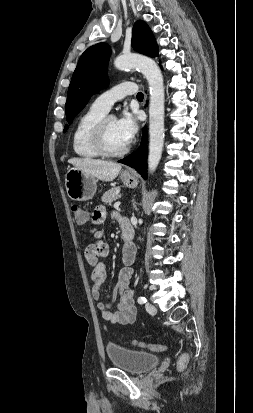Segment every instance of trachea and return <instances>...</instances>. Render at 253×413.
Returning a JSON list of instances; mask_svg holds the SVG:
<instances>
[{
  "label": "trachea",
  "instance_id": "3493384b",
  "mask_svg": "<svg viewBox=\"0 0 253 413\" xmlns=\"http://www.w3.org/2000/svg\"><path fill=\"white\" fill-rule=\"evenodd\" d=\"M137 99L140 100V101H142V100H143V93L139 92V93L137 94Z\"/></svg>",
  "mask_w": 253,
  "mask_h": 413
}]
</instances>
